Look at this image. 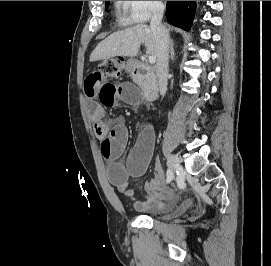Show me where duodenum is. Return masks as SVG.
<instances>
[{"mask_svg":"<svg viewBox=\"0 0 271 266\" xmlns=\"http://www.w3.org/2000/svg\"><path fill=\"white\" fill-rule=\"evenodd\" d=\"M129 73L134 83L141 88L146 100H156L159 83L155 71L143 62L133 60L129 65Z\"/></svg>","mask_w":271,"mask_h":266,"instance_id":"obj_1","label":"duodenum"}]
</instances>
